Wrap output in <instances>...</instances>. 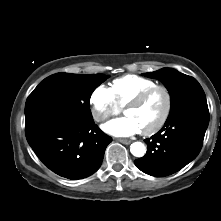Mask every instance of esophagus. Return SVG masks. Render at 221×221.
Instances as JSON below:
<instances>
[{"label":"esophagus","instance_id":"34e87169","mask_svg":"<svg viewBox=\"0 0 221 221\" xmlns=\"http://www.w3.org/2000/svg\"><path fill=\"white\" fill-rule=\"evenodd\" d=\"M118 142L122 143V144H125V145H128L131 143V140H128V139H122V138H119L117 139Z\"/></svg>","mask_w":221,"mask_h":221}]
</instances>
